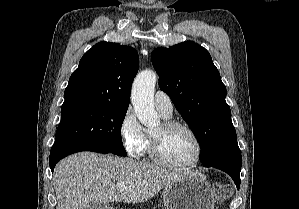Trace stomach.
<instances>
[{
  "label": "stomach",
  "instance_id": "1",
  "mask_svg": "<svg viewBox=\"0 0 299 209\" xmlns=\"http://www.w3.org/2000/svg\"><path fill=\"white\" fill-rule=\"evenodd\" d=\"M165 209H213L214 197L206 177L192 172L164 188Z\"/></svg>",
  "mask_w": 299,
  "mask_h": 209
}]
</instances>
